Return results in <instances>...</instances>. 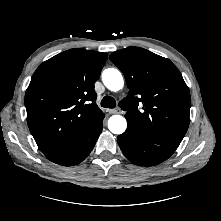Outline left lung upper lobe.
Listing matches in <instances>:
<instances>
[{"instance_id": "1", "label": "left lung upper lobe", "mask_w": 221, "mask_h": 221, "mask_svg": "<svg viewBox=\"0 0 221 221\" xmlns=\"http://www.w3.org/2000/svg\"><path fill=\"white\" fill-rule=\"evenodd\" d=\"M110 60L124 73L129 88L119 104L127 122L150 142L176 150L188 130L191 106L189 89L176 66L139 47L116 51Z\"/></svg>"}]
</instances>
